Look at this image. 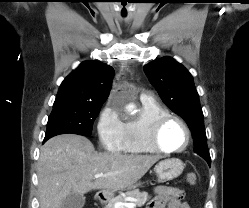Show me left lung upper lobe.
<instances>
[{"label": "left lung upper lobe", "mask_w": 249, "mask_h": 208, "mask_svg": "<svg viewBox=\"0 0 249 208\" xmlns=\"http://www.w3.org/2000/svg\"><path fill=\"white\" fill-rule=\"evenodd\" d=\"M144 70L162 101L186 121L192 131L194 152L211 164L204 116L192 75L171 57L155 59Z\"/></svg>", "instance_id": "5c2ea615"}]
</instances>
